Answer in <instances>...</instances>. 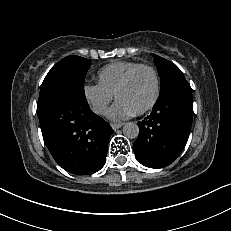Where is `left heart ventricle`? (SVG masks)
Wrapping results in <instances>:
<instances>
[{"mask_svg":"<svg viewBox=\"0 0 231 231\" xmlns=\"http://www.w3.org/2000/svg\"><path fill=\"white\" fill-rule=\"evenodd\" d=\"M155 80L149 70L140 71L132 82L119 94V101L129 106L134 112L146 106L153 98Z\"/></svg>","mask_w":231,"mask_h":231,"instance_id":"obj_1","label":"left heart ventricle"}]
</instances>
